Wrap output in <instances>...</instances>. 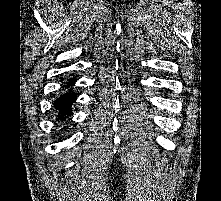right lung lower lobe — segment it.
<instances>
[{
	"mask_svg": "<svg viewBox=\"0 0 221 201\" xmlns=\"http://www.w3.org/2000/svg\"><path fill=\"white\" fill-rule=\"evenodd\" d=\"M70 85H73V81H70ZM75 100H76V96L71 91L61 95L58 99H56L54 106L61 113L59 114V117H58L59 119L63 118V114H67V115L71 114L70 107Z\"/></svg>",
	"mask_w": 221,
	"mask_h": 201,
	"instance_id": "98d812e1",
	"label": "right lung lower lobe"
}]
</instances>
